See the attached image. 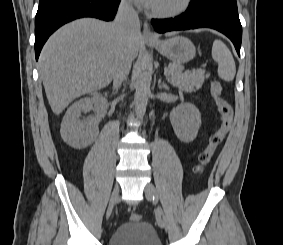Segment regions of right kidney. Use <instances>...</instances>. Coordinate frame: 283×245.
Masks as SVG:
<instances>
[{"label":"right kidney","instance_id":"1","mask_svg":"<svg viewBox=\"0 0 283 245\" xmlns=\"http://www.w3.org/2000/svg\"><path fill=\"white\" fill-rule=\"evenodd\" d=\"M107 100L100 95L92 98L84 97L72 104L61 123V137L71 147L81 149L89 146L98 135L96 122L91 120H80L82 112L90 110H103ZM94 105V108H93Z\"/></svg>","mask_w":283,"mask_h":245}]
</instances>
